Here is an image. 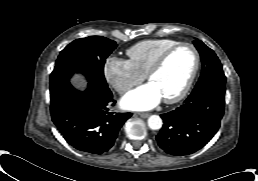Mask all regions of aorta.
I'll return each mask as SVG.
<instances>
[{"label":"aorta","instance_id":"aorta-1","mask_svg":"<svg viewBox=\"0 0 258 181\" xmlns=\"http://www.w3.org/2000/svg\"><path fill=\"white\" fill-rule=\"evenodd\" d=\"M148 126L152 130H158L162 127V119L158 115H151L148 118Z\"/></svg>","mask_w":258,"mask_h":181}]
</instances>
